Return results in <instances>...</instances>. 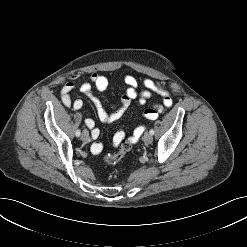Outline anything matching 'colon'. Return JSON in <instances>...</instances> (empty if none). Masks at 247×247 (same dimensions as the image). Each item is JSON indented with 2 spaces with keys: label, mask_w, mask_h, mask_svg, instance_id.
<instances>
[{
  "label": "colon",
  "mask_w": 247,
  "mask_h": 247,
  "mask_svg": "<svg viewBox=\"0 0 247 247\" xmlns=\"http://www.w3.org/2000/svg\"><path fill=\"white\" fill-rule=\"evenodd\" d=\"M117 144H120L118 151L108 153L104 156L103 163L106 166L116 165L123 157L130 153L132 146L129 140H125L124 137L118 136Z\"/></svg>",
  "instance_id": "5ec220e1"
}]
</instances>
